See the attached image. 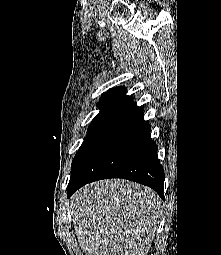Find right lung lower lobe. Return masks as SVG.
Masks as SVG:
<instances>
[{"mask_svg": "<svg viewBox=\"0 0 221 255\" xmlns=\"http://www.w3.org/2000/svg\"><path fill=\"white\" fill-rule=\"evenodd\" d=\"M124 178L153 188L164 199V170L143 109L130 102L117 109L82 155L67 188L70 197L87 183Z\"/></svg>", "mask_w": 221, "mask_h": 255, "instance_id": "obj_1", "label": "right lung lower lobe"}]
</instances>
